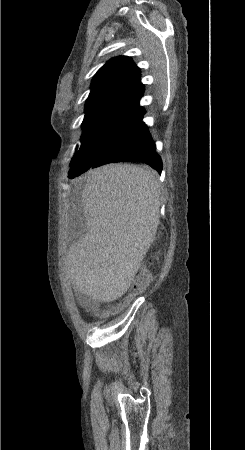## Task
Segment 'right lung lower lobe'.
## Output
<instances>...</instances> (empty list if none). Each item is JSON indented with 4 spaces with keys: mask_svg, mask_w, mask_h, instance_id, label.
<instances>
[{
    "mask_svg": "<svg viewBox=\"0 0 245 450\" xmlns=\"http://www.w3.org/2000/svg\"><path fill=\"white\" fill-rule=\"evenodd\" d=\"M144 114H142L133 136L118 149L102 154L91 165L92 168L111 162L141 161L161 173L163 164L160 156L156 153L155 145L147 126L142 122ZM85 171L73 174L70 179L79 176Z\"/></svg>",
    "mask_w": 245,
    "mask_h": 450,
    "instance_id": "obj_1",
    "label": "right lung lower lobe"
}]
</instances>
